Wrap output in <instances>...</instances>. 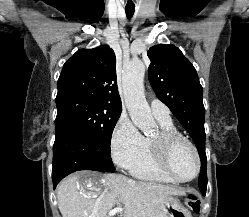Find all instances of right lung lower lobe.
<instances>
[{
  "label": "right lung lower lobe",
  "instance_id": "98d812e1",
  "mask_svg": "<svg viewBox=\"0 0 249 217\" xmlns=\"http://www.w3.org/2000/svg\"><path fill=\"white\" fill-rule=\"evenodd\" d=\"M52 179L54 189L68 174L79 170L112 172L110 152L66 123L55 124Z\"/></svg>",
  "mask_w": 249,
  "mask_h": 217
}]
</instances>
